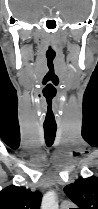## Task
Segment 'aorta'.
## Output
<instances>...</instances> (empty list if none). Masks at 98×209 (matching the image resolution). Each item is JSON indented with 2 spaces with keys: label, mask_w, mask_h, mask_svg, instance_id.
<instances>
[{
  "label": "aorta",
  "mask_w": 98,
  "mask_h": 209,
  "mask_svg": "<svg viewBox=\"0 0 98 209\" xmlns=\"http://www.w3.org/2000/svg\"><path fill=\"white\" fill-rule=\"evenodd\" d=\"M41 209H58L56 193L48 191L42 198Z\"/></svg>",
  "instance_id": "aorta-1"
}]
</instances>
